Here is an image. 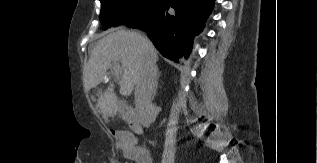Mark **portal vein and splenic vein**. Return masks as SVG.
Segmentation results:
<instances>
[{
	"label": "portal vein and splenic vein",
	"instance_id": "18ae733b",
	"mask_svg": "<svg viewBox=\"0 0 317 163\" xmlns=\"http://www.w3.org/2000/svg\"><path fill=\"white\" fill-rule=\"evenodd\" d=\"M121 74V67L119 62H114L113 63V76L118 78Z\"/></svg>",
	"mask_w": 317,
	"mask_h": 163
}]
</instances>
